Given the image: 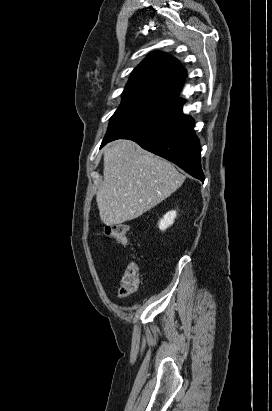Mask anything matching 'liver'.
<instances>
[{
	"label": "liver",
	"mask_w": 272,
	"mask_h": 411,
	"mask_svg": "<svg viewBox=\"0 0 272 411\" xmlns=\"http://www.w3.org/2000/svg\"><path fill=\"white\" fill-rule=\"evenodd\" d=\"M103 179L96 202L101 221L113 226L138 218L165 200L185 176L135 142L119 139L104 149Z\"/></svg>",
	"instance_id": "liver-1"
}]
</instances>
